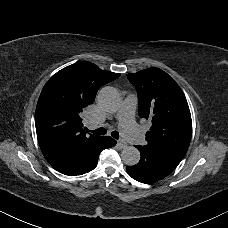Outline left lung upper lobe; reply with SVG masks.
<instances>
[{"label":"left lung upper lobe","mask_w":228,"mask_h":228,"mask_svg":"<svg viewBox=\"0 0 228 228\" xmlns=\"http://www.w3.org/2000/svg\"><path fill=\"white\" fill-rule=\"evenodd\" d=\"M138 93V114L152 122L147 147L184 157L192 135L191 114L178 84L163 70L151 67L127 75Z\"/></svg>","instance_id":"5c2ea615"}]
</instances>
